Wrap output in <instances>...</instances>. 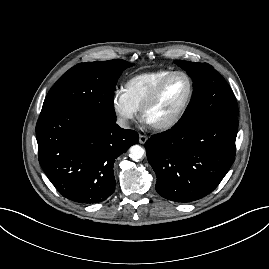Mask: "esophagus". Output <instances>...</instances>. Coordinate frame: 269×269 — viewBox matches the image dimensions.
Masks as SVG:
<instances>
[{"label": "esophagus", "instance_id": "34e87169", "mask_svg": "<svg viewBox=\"0 0 269 269\" xmlns=\"http://www.w3.org/2000/svg\"><path fill=\"white\" fill-rule=\"evenodd\" d=\"M147 136L146 135H139V142L141 143V144H144L146 141H147Z\"/></svg>", "mask_w": 269, "mask_h": 269}]
</instances>
